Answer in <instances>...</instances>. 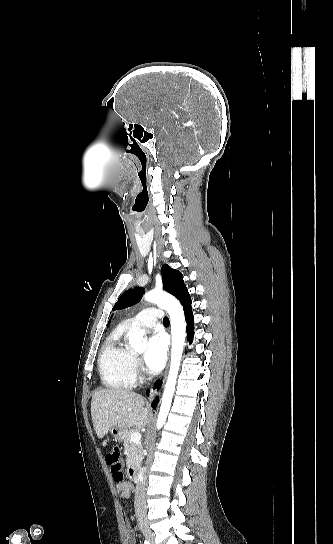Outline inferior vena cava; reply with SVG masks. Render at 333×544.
I'll use <instances>...</instances> for the list:
<instances>
[{"label":"inferior vena cava","mask_w":333,"mask_h":544,"mask_svg":"<svg viewBox=\"0 0 333 544\" xmlns=\"http://www.w3.org/2000/svg\"><path fill=\"white\" fill-rule=\"evenodd\" d=\"M145 471H146L145 468L142 467L139 473L140 476L145 475ZM145 490H146V478L144 477L142 481L141 480L138 481L136 485V490H135L134 507H135V513L138 519L145 517L147 512Z\"/></svg>","instance_id":"602c4592"}]
</instances>
